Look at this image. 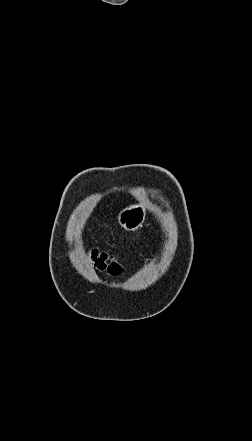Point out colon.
I'll list each match as a JSON object with an SVG mask.
<instances>
[{
	"instance_id": "colon-1",
	"label": "colon",
	"mask_w": 252,
	"mask_h": 441,
	"mask_svg": "<svg viewBox=\"0 0 252 441\" xmlns=\"http://www.w3.org/2000/svg\"><path fill=\"white\" fill-rule=\"evenodd\" d=\"M89 256L94 267L100 271H107L112 275H117L122 272V266L117 262L113 256L98 249L89 251Z\"/></svg>"
}]
</instances>
